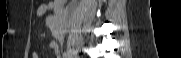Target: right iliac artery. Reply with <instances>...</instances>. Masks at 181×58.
I'll return each instance as SVG.
<instances>
[{
  "mask_svg": "<svg viewBox=\"0 0 181 58\" xmlns=\"http://www.w3.org/2000/svg\"><path fill=\"white\" fill-rule=\"evenodd\" d=\"M63 58H68L67 53H63Z\"/></svg>",
  "mask_w": 181,
  "mask_h": 58,
  "instance_id": "right-iliac-artery-1",
  "label": "right iliac artery"
}]
</instances>
